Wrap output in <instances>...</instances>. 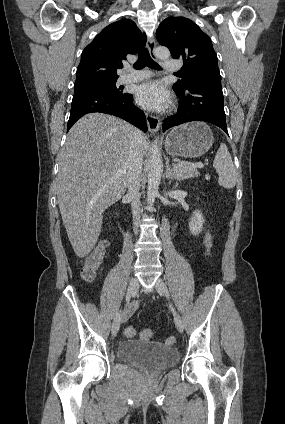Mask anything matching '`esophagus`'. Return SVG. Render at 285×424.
Returning a JSON list of instances; mask_svg holds the SVG:
<instances>
[{
	"mask_svg": "<svg viewBox=\"0 0 285 424\" xmlns=\"http://www.w3.org/2000/svg\"><path fill=\"white\" fill-rule=\"evenodd\" d=\"M155 47H156L155 40L153 38H150L148 40V49H149L150 55L153 59H156ZM146 122H147L148 130L151 133H156L158 131L159 125H160V120L157 116H154L152 114L147 113L146 114Z\"/></svg>",
	"mask_w": 285,
	"mask_h": 424,
	"instance_id": "obj_1",
	"label": "esophagus"
}]
</instances>
